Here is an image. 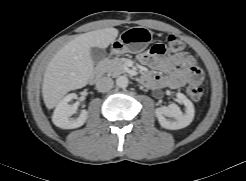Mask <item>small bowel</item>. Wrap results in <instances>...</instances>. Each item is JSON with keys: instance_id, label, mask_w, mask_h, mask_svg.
I'll list each match as a JSON object with an SVG mask.
<instances>
[{"instance_id": "c3829d8e", "label": "small bowel", "mask_w": 246, "mask_h": 181, "mask_svg": "<svg viewBox=\"0 0 246 181\" xmlns=\"http://www.w3.org/2000/svg\"><path fill=\"white\" fill-rule=\"evenodd\" d=\"M166 54L167 52L158 55L150 50L138 56L141 64L166 73V75H143V83L146 86L153 89L162 87L180 88L191 81L192 68L196 67L195 59L186 52L165 56Z\"/></svg>"}]
</instances>
